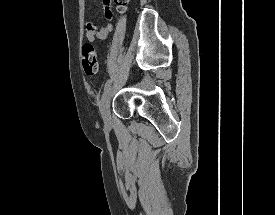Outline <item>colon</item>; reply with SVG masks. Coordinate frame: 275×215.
I'll return each mask as SVG.
<instances>
[{"instance_id":"colon-1","label":"colon","mask_w":275,"mask_h":215,"mask_svg":"<svg viewBox=\"0 0 275 215\" xmlns=\"http://www.w3.org/2000/svg\"><path fill=\"white\" fill-rule=\"evenodd\" d=\"M127 0H116L119 11L125 9ZM82 67L85 75L93 77L98 71V53L96 48L90 44L85 43L82 47L81 53Z\"/></svg>"}]
</instances>
